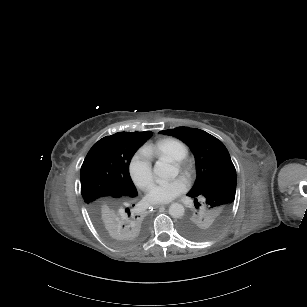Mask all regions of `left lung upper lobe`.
<instances>
[{
    "mask_svg": "<svg viewBox=\"0 0 307 307\" xmlns=\"http://www.w3.org/2000/svg\"><path fill=\"white\" fill-rule=\"evenodd\" d=\"M160 133L182 140L196 160L197 178L187 195L197 210L180 222V231L191 240L211 238L224 226L235 199L236 170L229 152L220 140L200 129L178 127Z\"/></svg>",
    "mask_w": 307,
    "mask_h": 307,
    "instance_id": "1",
    "label": "left lung upper lobe"
}]
</instances>
